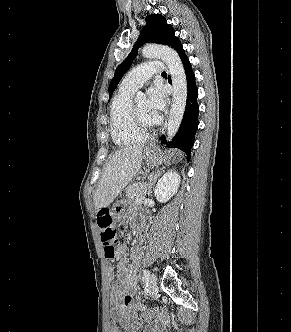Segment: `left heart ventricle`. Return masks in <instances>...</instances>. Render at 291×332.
Masks as SVG:
<instances>
[{
	"mask_svg": "<svg viewBox=\"0 0 291 332\" xmlns=\"http://www.w3.org/2000/svg\"><path fill=\"white\" fill-rule=\"evenodd\" d=\"M138 114L142 120V122L149 127L155 126V123L153 122L150 112L148 109V104L146 100H139L136 103Z\"/></svg>",
	"mask_w": 291,
	"mask_h": 332,
	"instance_id": "1",
	"label": "left heart ventricle"
}]
</instances>
